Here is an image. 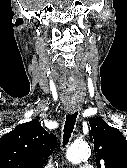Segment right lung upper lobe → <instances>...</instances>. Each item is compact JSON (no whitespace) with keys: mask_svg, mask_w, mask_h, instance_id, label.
Instances as JSON below:
<instances>
[{"mask_svg":"<svg viewBox=\"0 0 127 168\" xmlns=\"http://www.w3.org/2000/svg\"><path fill=\"white\" fill-rule=\"evenodd\" d=\"M55 147V135L37 119L19 124L0 138V168H43Z\"/></svg>","mask_w":127,"mask_h":168,"instance_id":"obj_1","label":"right lung upper lobe"}]
</instances>
